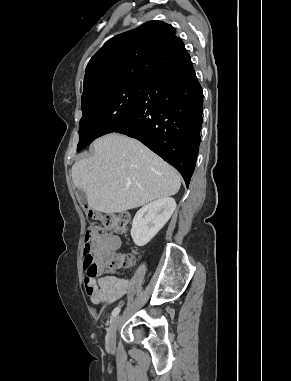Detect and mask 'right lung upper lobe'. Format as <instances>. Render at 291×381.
Returning a JSON list of instances; mask_svg holds the SVG:
<instances>
[{
    "instance_id": "right-lung-upper-lobe-1",
    "label": "right lung upper lobe",
    "mask_w": 291,
    "mask_h": 381,
    "mask_svg": "<svg viewBox=\"0 0 291 381\" xmlns=\"http://www.w3.org/2000/svg\"><path fill=\"white\" fill-rule=\"evenodd\" d=\"M185 50L173 26L157 20L114 36L86 67L82 101L116 85L146 82Z\"/></svg>"
}]
</instances>
